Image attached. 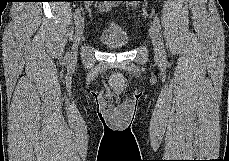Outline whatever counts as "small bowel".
<instances>
[{"instance_id": "obj_1", "label": "small bowel", "mask_w": 229, "mask_h": 161, "mask_svg": "<svg viewBox=\"0 0 229 161\" xmlns=\"http://www.w3.org/2000/svg\"><path fill=\"white\" fill-rule=\"evenodd\" d=\"M106 9H110L116 6V1H104Z\"/></svg>"}]
</instances>
